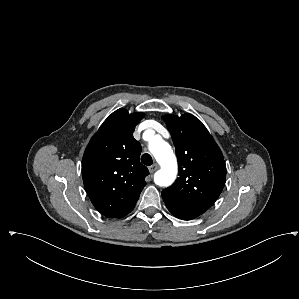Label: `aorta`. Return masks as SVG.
<instances>
[{
    "mask_svg": "<svg viewBox=\"0 0 299 299\" xmlns=\"http://www.w3.org/2000/svg\"><path fill=\"white\" fill-rule=\"evenodd\" d=\"M149 150L155 157L161 169L154 174L155 184L167 187L176 179L178 167L176 156L167 142L155 136L151 139Z\"/></svg>",
    "mask_w": 299,
    "mask_h": 299,
    "instance_id": "obj_1",
    "label": "aorta"
}]
</instances>
